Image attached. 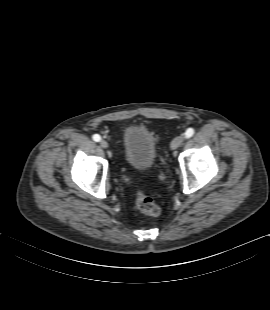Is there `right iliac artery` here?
I'll use <instances>...</instances> for the list:
<instances>
[{
	"mask_svg": "<svg viewBox=\"0 0 270 310\" xmlns=\"http://www.w3.org/2000/svg\"><path fill=\"white\" fill-rule=\"evenodd\" d=\"M93 140H94L95 142H99V141L101 140L100 135H98V134L93 135Z\"/></svg>",
	"mask_w": 270,
	"mask_h": 310,
	"instance_id": "obj_1",
	"label": "right iliac artery"
}]
</instances>
